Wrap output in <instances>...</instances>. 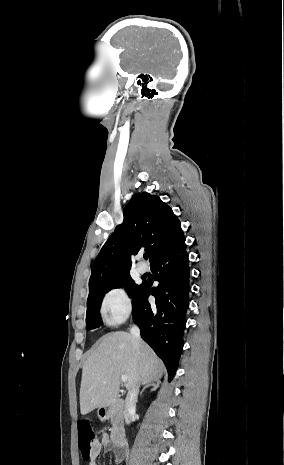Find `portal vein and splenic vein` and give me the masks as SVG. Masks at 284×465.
Masks as SVG:
<instances>
[{"mask_svg": "<svg viewBox=\"0 0 284 465\" xmlns=\"http://www.w3.org/2000/svg\"><path fill=\"white\" fill-rule=\"evenodd\" d=\"M127 375H121V381H123V383H127Z\"/></svg>", "mask_w": 284, "mask_h": 465, "instance_id": "1", "label": "portal vein and splenic vein"}]
</instances>
